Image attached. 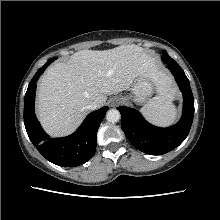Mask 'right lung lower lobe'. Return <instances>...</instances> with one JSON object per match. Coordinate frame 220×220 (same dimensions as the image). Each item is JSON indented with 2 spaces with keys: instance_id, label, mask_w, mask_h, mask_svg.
Returning <instances> with one entry per match:
<instances>
[{
  "instance_id": "right-lung-lower-lobe-1",
  "label": "right lung lower lobe",
  "mask_w": 220,
  "mask_h": 220,
  "mask_svg": "<svg viewBox=\"0 0 220 220\" xmlns=\"http://www.w3.org/2000/svg\"><path fill=\"white\" fill-rule=\"evenodd\" d=\"M55 59L48 60L29 83L24 99V124L31 142L48 161L63 167H76L92 158L96 149L97 131L108 107L90 113L73 134L51 139L35 117L34 101L36 82Z\"/></svg>"
}]
</instances>
